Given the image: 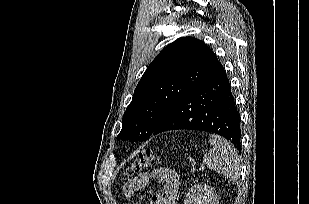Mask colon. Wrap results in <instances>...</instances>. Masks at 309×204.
I'll return each mask as SVG.
<instances>
[{"mask_svg": "<svg viewBox=\"0 0 309 204\" xmlns=\"http://www.w3.org/2000/svg\"><path fill=\"white\" fill-rule=\"evenodd\" d=\"M158 155L153 150H145L141 152L130 164L124 173V178L128 179L134 175L141 174L158 161Z\"/></svg>", "mask_w": 309, "mask_h": 204, "instance_id": "5ec220e1", "label": "colon"}]
</instances>
